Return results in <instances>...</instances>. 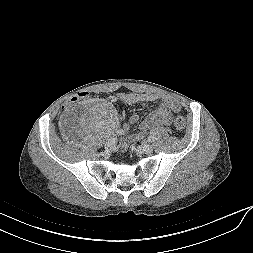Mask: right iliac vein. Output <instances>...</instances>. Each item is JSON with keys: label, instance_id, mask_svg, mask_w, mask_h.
Here are the masks:
<instances>
[{"label": "right iliac vein", "instance_id": "obj_1", "mask_svg": "<svg viewBox=\"0 0 253 253\" xmlns=\"http://www.w3.org/2000/svg\"><path fill=\"white\" fill-rule=\"evenodd\" d=\"M115 147V143L113 141H108L105 143V148L107 150H112Z\"/></svg>", "mask_w": 253, "mask_h": 253}]
</instances>
